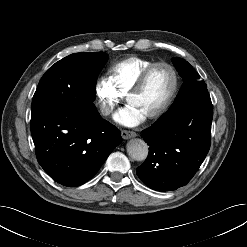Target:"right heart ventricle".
<instances>
[{
    "mask_svg": "<svg viewBox=\"0 0 247 247\" xmlns=\"http://www.w3.org/2000/svg\"><path fill=\"white\" fill-rule=\"evenodd\" d=\"M152 63L154 61L142 57L123 59L110 67L108 80L121 96H126L141 72Z\"/></svg>",
    "mask_w": 247,
    "mask_h": 247,
    "instance_id": "e07e8e85",
    "label": "right heart ventricle"
}]
</instances>
